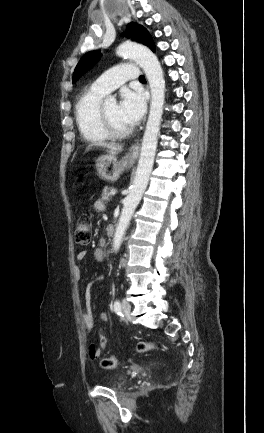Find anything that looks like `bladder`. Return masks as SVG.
Masks as SVG:
<instances>
[{
	"label": "bladder",
	"instance_id": "1",
	"mask_svg": "<svg viewBox=\"0 0 264 433\" xmlns=\"http://www.w3.org/2000/svg\"><path fill=\"white\" fill-rule=\"evenodd\" d=\"M124 384V377H120L114 384V387H121Z\"/></svg>",
	"mask_w": 264,
	"mask_h": 433
}]
</instances>
